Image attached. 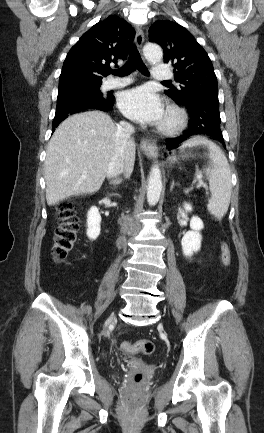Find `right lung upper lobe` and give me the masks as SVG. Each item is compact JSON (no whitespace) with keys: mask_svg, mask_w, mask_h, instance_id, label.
I'll return each instance as SVG.
<instances>
[{"mask_svg":"<svg viewBox=\"0 0 264 433\" xmlns=\"http://www.w3.org/2000/svg\"><path fill=\"white\" fill-rule=\"evenodd\" d=\"M134 29L118 16H109L92 26L72 47L64 61L59 90L74 85L101 84L111 61L124 59Z\"/></svg>","mask_w":264,"mask_h":433,"instance_id":"1","label":"right lung upper lobe"}]
</instances>
